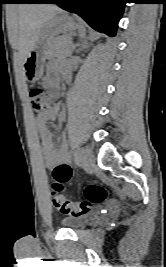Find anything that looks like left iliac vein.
<instances>
[{"label":"left iliac vein","instance_id":"1","mask_svg":"<svg viewBox=\"0 0 166 267\" xmlns=\"http://www.w3.org/2000/svg\"><path fill=\"white\" fill-rule=\"evenodd\" d=\"M80 154L85 168L87 170H91L95 163V158L92 151L89 148L85 147L81 150Z\"/></svg>","mask_w":166,"mask_h":267}]
</instances>
